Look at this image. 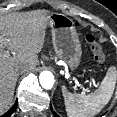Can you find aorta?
<instances>
[{
  "instance_id": "762f6f07",
  "label": "aorta",
  "mask_w": 117,
  "mask_h": 117,
  "mask_svg": "<svg viewBox=\"0 0 117 117\" xmlns=\"http://www.w3.org/2000/svg\"><path fill=\"white\" fill-rule=\"evenodd\" d=\"M39 81L41 86L47 90L52 89L55 82L53 74L49 71L41 72L39 75Z\"/></svg>"
}]
</instances>
